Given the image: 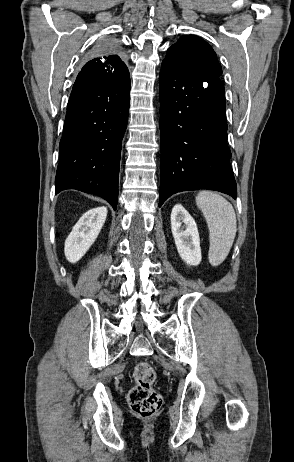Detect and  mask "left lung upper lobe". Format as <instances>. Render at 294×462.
I'll return each instance as SVG.
<instances>
[{
  "label": "left lung upper lobe",
  "instance_id": "5c2ea615",
  "mask_svg": "<svg viewBox=\"0 0 294 462\" xmlns=\"http://www.w3.org/2000/svg\"><path fill=\"white\" fill-rule=\"evenodd\" d=\"M163 62L189 69L208 78H219L221 65L212 47L194 35L182 36L172 45Z\"/></svg>",
  "mask_w": 294,
  "mask_h": 462
}]
</instances>
